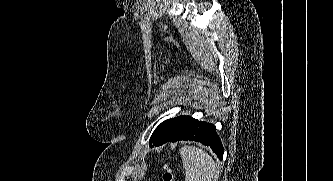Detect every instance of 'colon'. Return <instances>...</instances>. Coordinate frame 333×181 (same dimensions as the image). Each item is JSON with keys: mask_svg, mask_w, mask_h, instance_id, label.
<instances>
[{"mask_svg": "<svg viewBox=\"0 0 333 181\" xmlns=\"http://www.w3.org/2000/svg\"><path fill=\"white\" fill-rule=\"evenodd\" d=\"M162 179L163 181H176V175L173 173L170 167L165 166Z\"/></svg>", "mask_w": 333, "mask_h": 181, "instance_id": "1", "label": "colon"}]
</instances>
